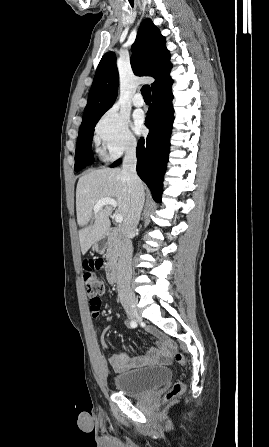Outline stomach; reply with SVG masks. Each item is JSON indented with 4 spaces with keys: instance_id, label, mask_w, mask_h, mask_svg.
Listing matches in <instances>:
<instances>
[{
    "instance_id": "1",
    "label": "stomach",
    "mask_w": 269,
    "mask_h": 447,
    "mask_svg": "<svg viewBox=\"0 0 269 447\" xmlns=\"http://www.w3.org/2000/svg\"><path fill=\"white\" fill-rule=\"evenodd\" d=\"M107 241H104V243H100V241H96V243H93L92 249L93 251H104L106 249Z\"/></svg>"
}]
</instances>
